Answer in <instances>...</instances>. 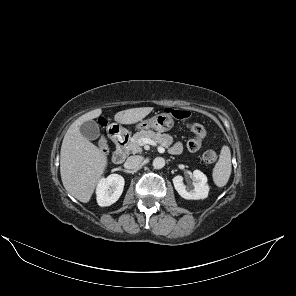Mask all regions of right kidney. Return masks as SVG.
<instances>
[{
	"label": "right kidney",
	"instance_id": "right-kidney-1",
	"mask_svg": "<svg viewBox=\"0 0 296 296\" xmlns=\"http://www.w3.org/2000/svg\"><path fill=\"white\" fill-rule=\"evenodd\" d=\"M124 184V178L118 174H111L99 180L96 188L98 205L103 207L115 203L123 192Z\"/></svg>",
	"mask_w": 296,
	"mask_h": 296
}]
</instances>
